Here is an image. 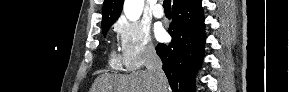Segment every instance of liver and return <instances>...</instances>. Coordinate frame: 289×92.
I'll return each instance as SVG.
<instances>
[{
  "instance_id": "liver-1",
  "label": "liver",
  "mask_w": 289,
  "mask_h": 92,
  "mask_svg": "<svg viewBox=\"0 0 289 92\" xmlns=\"http://www.w3.org/2000/svg\"><path fill=\"white\" fill-rule=\"evenodd\" d=\"M91 92H158V90L150 71H137L129 75L102 74L96 79ZM163 92H170L168 84Z\"/></svg>"
}]
</instances>
